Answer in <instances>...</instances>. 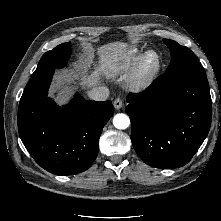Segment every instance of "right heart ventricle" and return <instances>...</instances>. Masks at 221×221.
<instances>
[{"label":"right heart ventricle","mask_w":221,"mask_h":221,"mask_svg":"<svg viewBox=\"0 0 221 221\" xmlns=\"http://www.w3.org/2000/svg\"><path fill=\"white\" fill-rule=\"evenodd\" d=\"M138 50H132L128 56L116 58L105 64V72L108 76H116L125 71L130 64L136 59Z\"/></svg>","instance_id":"right-heart-ventricle-1"}]
</instances>
